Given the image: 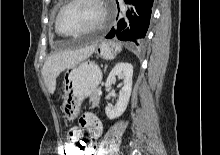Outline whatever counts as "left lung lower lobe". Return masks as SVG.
I'll use <instances>...</instances> for the list:
<instances>
[{
  "instance_id": "left-lung-lower-lobe-1",
  "label": "left lung lower lobe",
  "mask_w": 220,
  "mask_h": 155,
  "mask_svg": "<svg viewBox=\"0 0 220 155\" xmlns=\"http://www.w3.org/2000/svg\"><path fill=\"white\" fill-rule=\"evenodd\" d=\"M125 2L127 3L126 0ZM132 4L135 6V11L133 12L132 10L133 15L128 13V17L130 18L129 27L126 28L127 24L123 20H120L117 31L112 28L106 37L112 38L117 35L120 40L130 41L137 46H142L150 23L153 0H132ZM125 28L126 30L120 33Z\"/></svg>"
}]
</instances>
